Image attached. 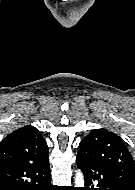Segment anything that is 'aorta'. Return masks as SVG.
Masks as SVG:
<instances>
[{
    "label": "aorta",
    "instance_id": "1",
    "mask_svg": "<svg viewBox=\"0 0 135 190\" xmlns=\"http://www.w3.org/2000/svg\"><path fill=\"white\" fill-rule=\"evenodd\" d=\"M75 185L76 187H83L84 186V177L81 171H77L75 176Z\"/></svg>",
    "mask_w": 135,
    "mask_h": 190
}]
</instances>
